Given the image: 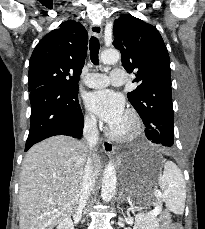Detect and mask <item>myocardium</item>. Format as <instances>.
<instances>
[{"instance_id": "f54148a6", "label": "myocardium", "mask_w": 205, "mask_h": 229, "mask_svg": "<svg viewBox=\"0 0 205 229\" xmlns=\"http://www.w3.org/2000/svg\"><path fill=\"white\" fill-rule=\"evenodd\" d=\"M125 116L129 120L128 129L124 132H119L112 127L107 128L106 133L111 139L117 141H130L140 134L142 123L138 113L133 109H129L126 111Z\"/></svg>"}]
</instances>
